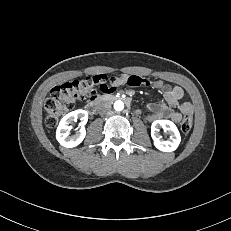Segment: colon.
<instances>
[{
    "instance_id": "5ec220e1",
    "label": "colon",
    "mask_w": 231,
    "mask_h": 231,
    "mask_svg": "<svg viewBox=\"0 0 231 231\" xmlns=\"http://www.w3.org/2000/svg\"><path fill=\"white\" fill-rule=\"evenodd\" d=\"M110 78L106 75L86 77L55 87L46 101V124L56 126L61 118L71 111L78 101L88 99L97 93H102L101 87ZM191 115H185L181 122V130L188 132L192 127Z\"/></svg>"
}]
</instances>
